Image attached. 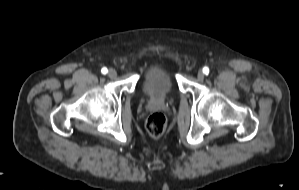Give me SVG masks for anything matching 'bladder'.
<instances>
[{
	"mask_svg": "<svg viewBox=\"0 0 299 190\" xmlns=\"http://www.w3.org/2000/svg\"><path fill=\"white\" fill-rule=\"evenodd\" d=\"M138 86L144 96L161 99L176 89L177 80L168 63L155 60L141 73Z\"/></svg>",
	"mask_w": 299,
	"mask_h": 190,
	"instance_id": "31cf9c89",
	"label": "bladder"
}]
</instances>
